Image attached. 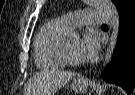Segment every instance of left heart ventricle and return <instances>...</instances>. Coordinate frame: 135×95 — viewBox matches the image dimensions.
<instances>
[{"label": "left heart ventricle", "instance_id": "b2bd125f", "mask_svg": "<svg viewBox=\"0 0 135 95\" xmlns=\"http://www.w3.org/2000/svg\"><path fill=\"white\" fill-rule=\"evenodd\" d=\"M79 38L78 37H71L66 39V44L68 48L69 54L74 58L79 60L77 56V47H78Z\"/></svg>", "mask_w": 135, "mask_h": 95}]
</instances>
